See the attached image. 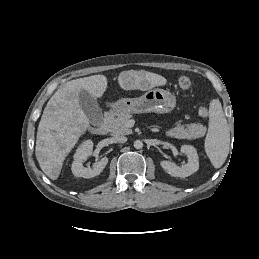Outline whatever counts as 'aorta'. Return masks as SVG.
I'll use <instances>...</instances> for the list:
<instances>
[{"instance_id":"1","label":"aorta","mask_w":259,"mask_h":259,"mask_svg":"<svg viewBox=\"0 0 259 259\" xmlns=\"http://www.w3.org/2000/svg\"><path fill=\"white\" fill-rule=\"evenodd\" d=\"M134 148L135 149H141L143 148V142L141 140L134 141Z\"/></svg>"}]
</instances>
